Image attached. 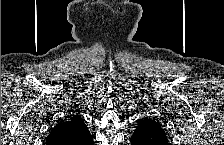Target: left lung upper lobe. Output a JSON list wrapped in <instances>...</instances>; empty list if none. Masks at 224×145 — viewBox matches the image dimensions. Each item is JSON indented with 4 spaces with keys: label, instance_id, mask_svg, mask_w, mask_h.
Returning a JSON list of instances; mask_svg holds the SVG:
<instances>
[{
    "label": "left lung upper lobe",
    "instance_id": "1",
    "mask_svg": "<svg viewBox=\"0 0 224 145\" xmlns=\"http://www.w3.org/2000/svg\"><path fill=\"white\" fill-rule=\"evenodd\" d=\"M155 124H157L161 129H162V127H161V125L158 123V122H155V121H153ZM163 130V129H162Z\"/></svg>",
    "mask_w": 224,
    "mask_h": 145
}]
</instances>
